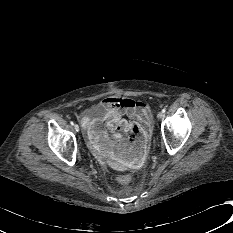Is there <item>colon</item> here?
<instances>
[{"label":"colon","mask_w":233,"mask_h":233,"mask_svg":"<svg viewBox=\"0 0 233 233\" xmlns=\"http://www.w3.org/2000/svg\"><path fill=\"white\" fill-rule=\"evenodd\" d=\"M134 126H137V125H134ZM138 127V126H137ZM120 127H118V129H119ZM118 181L121 183V184H123V185H127V184H129L130 182H131V177L129 176V175H126V174H124V175H120L119 177H118Z\"/></svg>","instance_id":"colon-1"}]
</instances>
